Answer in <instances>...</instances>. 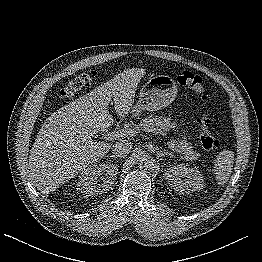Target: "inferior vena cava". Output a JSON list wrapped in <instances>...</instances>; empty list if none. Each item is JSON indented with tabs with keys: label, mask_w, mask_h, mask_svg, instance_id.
<instances>
[{
	"label": "inferior vena cava",
	"mask_w": 262,
	"mask_h": 262,
	"mask_svg": "<svg viewBox=\"0 0 262 262\" xmlns=\"http://www.w3.org/2000/svg\"><path fill=\"white\" fill-rule=\"evenodd\" d=\"M132 149V144L128 140H120L119 142H116L113 144V154L117 157L124 158L127 156V154L130 153Z\"/></svg>",
	"instance_id": "obj_1"
}]
</instances>
